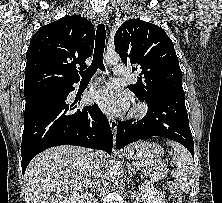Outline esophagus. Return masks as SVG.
<instances>
[{"instance_id":"1","label":"esophagus","mask_w":222,"mask_h":203,"mask_svg":"<svg viewBox=\"0 0 222 203\" xmlns=\"http://www.w3.org/2000/svg\"><path fill=\"white\" fill-rule=\"evenodd\" d=\"M98 20H99L100 23L106 24L108 22L107 13L106 12H101L99 14ZM108 121H109L111 130H112V132L114 134V137H115L116 136V130H117V121L113 117H110V116H108Z\"/></svg>"}]
</instances>
